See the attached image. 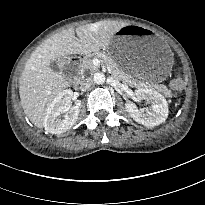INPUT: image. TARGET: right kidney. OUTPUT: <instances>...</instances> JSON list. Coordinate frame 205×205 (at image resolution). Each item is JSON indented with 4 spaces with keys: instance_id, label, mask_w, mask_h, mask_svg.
<instances>
[{
    "instance_id": "ca27d5eb",
    "label": "right kidney",
    "mask_w": 205,
    "mask_h": 205,
    "mask_svg": "<svg viewBox=\"0 0 205 205\" xmlns=\"http://www.w3.org/2000/svg\"><path fill=\"white\" fill-rule=\"evenodd\" d=\"M73 91L70 89L60 92L51 102L44 117L45 131L51 134H61L69 130L78 119L79 107H70ZM64 118L59 116L64 114Z\"/></svg>"
}]
</instances>
